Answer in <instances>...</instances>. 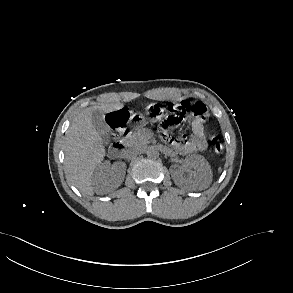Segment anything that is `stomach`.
<instances>
[{
	"instance_id": "obj_1",
	"label": "stomach",
	"mask_w": 293,
	"mask_h": 293,
	"mask_svg": "<svg viewBox=\"0 0 293 293\" xmlns=\"http://www.w3.org/2000/svg\"><path fill=\"white\" fill-rule=\"evenodd\" d=\"M165 109L158 103H151L146 108L145 114L134 113L130 118L131 125L134 128L145 126L148 123H155L164 115Z\"/></svg>"
}]
</instances>
